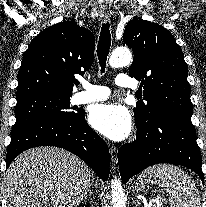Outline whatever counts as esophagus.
I'll list each match as a JSON object with an SVG mask.
<instances>
[{
    "mask_svg": "<svg viewBox=\"0 0 206 207\" xmlns=\"http://www.w3.org/2000/svg\"><path fill=\"white\" fill-rule=\"evenodd\" d=\"M99 17L103 22H106L109 19L110 14L107 10H100ZM110 155H111V160H112L113 165H116L117 164V155H118V150H117L116 146L111 145Z\"/></svg>",
    "mask_w": 206,
    "mask_h": 207,
    "instance_id": "esophagus-1",
    "label": "esophagus"
}]
</instances>
